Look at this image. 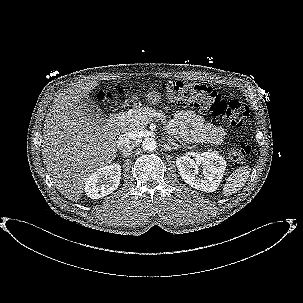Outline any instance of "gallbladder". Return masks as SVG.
Wrapping results in <instances>:
<instances>
[{
  "instance_id": "1",
  "label": "gallbladder",
  "mask_w": 303,
  "mask_h": 303,
  "mask_svg": "<svg viewBox=\"0 0 303 303\" xmlns=\"http://www.w3.org/2000/svg\"><path fill=\"white\" fill-rule=\"evenodd\" d=\"M78 107L84 115L89 116L93 121L98 123H103L105 121L106 117L104 113L89 100H80L78 102Z\"/></svg>"
}]
</instances>
